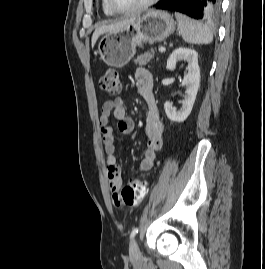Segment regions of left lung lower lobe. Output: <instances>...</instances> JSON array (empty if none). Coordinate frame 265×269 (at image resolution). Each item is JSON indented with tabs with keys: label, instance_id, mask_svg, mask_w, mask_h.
Instances as JSON below:
<instances>
[{
	"label": "left lung lower lobe",
	"instance_id": "0a47b994",
	"mask_svg": "<svg viewBox=\"0 0 265 269\" xmlns=\"http://www.w3.org/2000/svg\"><path fill=\"white\" fill-rule=\"evenodd\" d=\"M221 0H164L157 9L184 13L192 18L213 21L220 13Z\"/></svg>",
	"mask_w": 265,
	"mask_h": 269
}]
</instances>
